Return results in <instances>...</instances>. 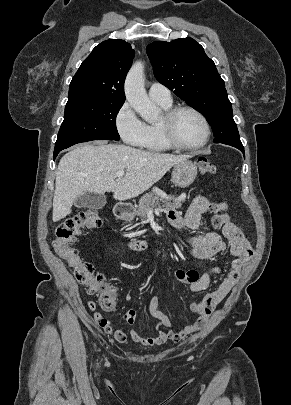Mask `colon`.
<instances>
[{"mask_svg":"<svg viewBox=\"0 0 291 405\" xmlns=\"http://www.w3.org/2000/svg\"><path fill=\"white\" fill-rule=\"evenodd\" d=\"M198 169L202 175L216 174L215 165L204 158L199 160ZM224 209L225 205L223 203L212 204L213 223L216 227H222L226 224ZM100 225L101 219L94 209L82 210L57 228L53 248L67 262L73 270L76 280L86 287L87 292L99 295L101 307L111 311L115 306V300L111 297V292L116 291V287L108 284L103 275L96 273L93 265L83 261L77 251L70 246L84 230L96 229ZM175 277L181 283L190 284L198 279V274L195 271L177 270Z\"/></svg>","mask_w":291,"mask_h":405,"instance_id":"colon-1","label":"colon"}]
</instances>
